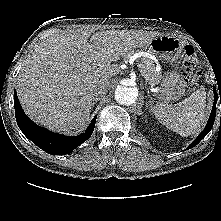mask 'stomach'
I'll return each instance as SVG.
<instances>
[{"label":"stomach","instance_id":"stomach-1","mask_svg":"<svg viewBox=\"0 0 221 221\" xmlns=\"http://www.w3.org/2000/svg\"><path fill=\"white\" fill-rule=\"evenodd\" d=\"M184 47L183 40L170 35H158L149 44L142 47L150 55L173 67L161 78L160 98L166 102L178 100L185 93V83L178 72L177 65Z\"/></svg>","mask_w":221,"mask_h":221}]
</instances>
